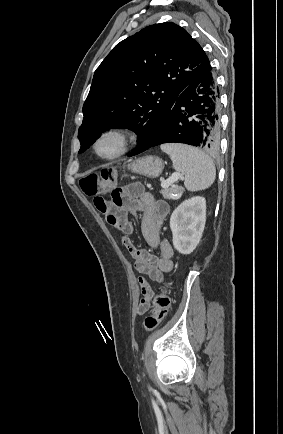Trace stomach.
I'll use <instances>...</instances> for the list:
<instances>
[{
	"label": "stomach",
	"mask_w": 283,
	"mask_h": 434,
	"mask_svg": "<svg viewBox=\"0 0 283 434\" xmlns=\"http://www.w3.org/2000/svg\"><path fill=\"white\" fill-rule=\"evenodd\" d=\"M128 168L134 173L156 178L162 173L164 164L157 156H145L130 163Z\"/></svg>",
	"instance_id": "stomach-1"
}]
</instances>
